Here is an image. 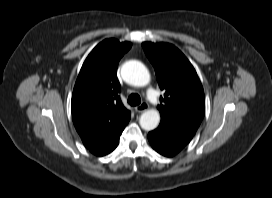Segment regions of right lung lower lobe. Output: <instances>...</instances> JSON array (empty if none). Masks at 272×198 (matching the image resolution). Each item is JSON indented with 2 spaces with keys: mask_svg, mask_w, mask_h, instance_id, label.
<instances>
[{
  "mask_svg": "<svg viewBox=\"0 0 272 198\" xmlns=\"http://www.w3.org/2000/svg\"><path fill=\"white\" fill-rule=\"evenodd\" d=\"M129 120L130 117H128L119 126H117L101 143L88 149L97 156H103L112 152L117 147L120 135Z\"/></svg>",
  "mask_w": 272,
  "mask_h": 198,
  "instance_id": "98d812e1",
  "label": "right lung lower lobe"
}]
</instances>
